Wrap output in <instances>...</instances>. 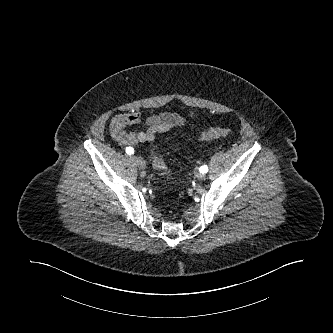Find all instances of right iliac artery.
Returning <instances> with one entry per match:
<instances>
[{
    "mask_svg": "<svg viewBox=\"0 0 333 333\" xmlns=\"http://www.w3.org/2000/svg\"><path fill=\"white\" fill-rule=\"evenodd\" d=\"M126 153L128 155H132V154H134V149L132 147H126Z\"/></svg>",
    "mask_w": 333,
    "mask_h": 333,
    "instance_id": "right-iliac-artery-1",
    "label": "right iliac artery"
}]
</instances>
